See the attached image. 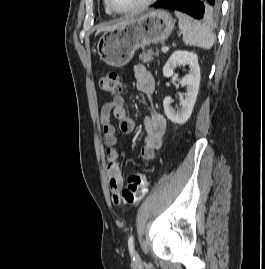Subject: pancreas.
Segmentation results:
<instances>
[{
	"label": "pancreas",
	"instance_id": "pancreas-1",
	"mask_svg": "<svg viewBox=\"0 0 265 269\" xmlns=\"http://www.w3.org/2000/svg\"><path fill=\"white\" fill-rule=\"evenodd\" d=\"M155 56H159V50L154 51L153 49H149L144 51L142 54L139 55V59L143 62V63H147L152 61V59Z\"/></svg>",
	"mask_w": 265,
	"mask_h": 269
}]
</instances>
